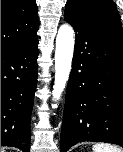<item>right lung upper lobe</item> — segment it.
Here are the masks:
<instances>
[{
	"mask_svg": "<svg viewBox=\"0 0 123 152\" xmlns=\"http://www.w3.org/2000/svg\"><path fill=\"white\" fill-rule=\"evenodd\" d=\"M37 10L36 0H1V50L37 38Z\"/></svg>",
	"mask_w": 123,
	"mask_h": 152,
	"instance_id": "right-lung-upper-lobe-1",
	"label": "right lung upper lobe"
}]
</instances>
